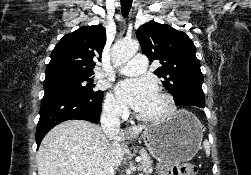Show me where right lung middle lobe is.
I'll list each match as a JSON object with an SVG mask.
<instances>
[{"instance_id": "1", "label": "right lung middle lobe", "mask_w": 251, "mask_h": 175, "mask_svg": "<svg viewBox=\"0 0 251 175\" xmlns=\"http://www.w3.org/2000/svg\"><path fill=\"white\" fill-rule=\"evenodd\" d=\"M90 76H54L45 78L43 86L44 89L51 88V87H62L74 90L78 93L84 95H92L95 92L101 91H94L92 85V81L89 78ZM88 81L87 84L84 82Z\"/></svg>"}]
</instances>
